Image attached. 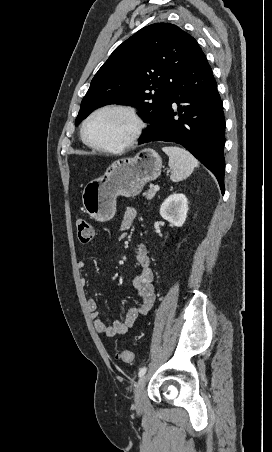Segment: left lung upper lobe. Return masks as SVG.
I'll use <instances>...</instances> for the list:
<instances>
[{
	"label": "left lung upper lobe",
	"instance_id": "obj_1",
	"mask_svg": "<svg viewBox=\"0 0 272 452\" xmlns=\"http://www.w3.org/2000/svg\"><path fill=\"white\" fill-rule=\"evenodd\" d=\"M197 41L176 25H148L110 55L91 81L75 125L96 108L108 104L140 109L153 124L164 112L176 79L190 59Z\"/></svg>",
	"mask_w": 272,
	"mask_h": 452
}]
</instances>
